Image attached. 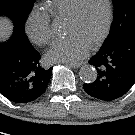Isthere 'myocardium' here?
I'll return each instance as SVG.
<instances>
[{"mask_svg": "<svg viewBox=\"0 0 135 135\" xmlns=\"http://www.w3.org/2000/svg\"><path fill=\"white\" fill-rule=\"evenodd\" d=\"M84 0H77L72 8V11L66 18V20H75L78 17L80 8ZM107 7L106 22L102 33L90 44L91 47L100 45L108 36L113 20V6L111 0H105Z\"/></svg>", "mask_w": 135, "mask_h": 135, "instance_id": "obj_1", "label": "myocardium"}]
</instances>
